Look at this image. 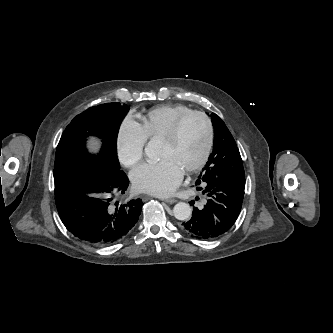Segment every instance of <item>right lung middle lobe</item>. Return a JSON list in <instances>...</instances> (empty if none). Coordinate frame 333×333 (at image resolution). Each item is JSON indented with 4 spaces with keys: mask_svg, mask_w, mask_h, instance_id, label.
I'll list each match as a JSON object with an SVG mask.
<instances>
[{
    "mask_svg": "<svg viewBox=\"0 0 333 333\" xmlns=\"http://www.w3.org/2000/svg\"><path fill=\"white\" fill-rule=\"evenodd\" d=\"M126 104L106 103L91 107L77 115L66 127L57 146L54 164L55 183L108 163L120 170L117 157V135L120 124L128 112ZM96 136L102 140L97 155L88 153L86 138Z\"/></svg>",
    "mask_w": 333,
    "mask_h": 333,
    "instance_id": "right-lung-middle-lobe-1",
    "label": "right lung middle lobe"
}]
</instances>
